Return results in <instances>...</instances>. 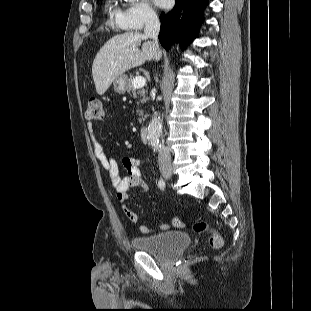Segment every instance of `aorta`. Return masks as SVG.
Segmentation results:
<instances>
[{"mask_svg": "<svg viewBox=\"0 0 311 311\" xmlns=\"http://www.w3.org/2000/svg\"><path fill=\"white\" fill-rule=\"evenodd\" d=\"M135 2L136 0H126ZM138 1V0H137ZM162 134V122L157 114H154L148 126L147 139L153 150H158L160 147V136Z\"/></svg>", "mask_w": 311, "mask_h": 311, "instance_id": "1", "label": "aorta"}]
</instances>
